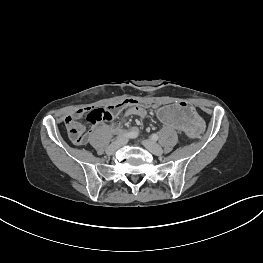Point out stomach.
Instances as JSON below:
<instances>
[{
  "instance_id": "1",
  "label": "stomach",
  "mask_w": 263,
  "mask_h": 263,
  "mask_svg": "<svg viewBox=\"0 0 263 263\" xmlns=\"http://www.w3.org/2000/svg\"><path fill=\"white\" fill-rule=\"evenodd\" d=\"M155 118L169 129L177 130L186 139L199 138L206 130L204 119L184 102L159 106Z\"/></svg>"
}]
</instances>
